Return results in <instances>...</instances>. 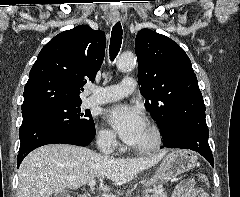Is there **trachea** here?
Wrapping results in <instances>:
<instances>
[{
    "instance_id": "1",
    "label": "trachea",
    "mask_w": 240,
    "mask_h": 197,
    "mask_svg": "<svg viewBox=\"0 0 240 197\" xmlns=\"http://www.w3.org/2000/svg\"><path fill=\"white\" fill-rule=\"evenodd\" d=\"M122 26L120 22H117L111 32V39H110V48H109V53H110V60L113 61L117 54L120 51L121 44H122Z\"/></svg>"
}]
</instances>
